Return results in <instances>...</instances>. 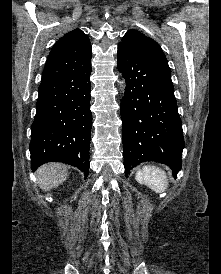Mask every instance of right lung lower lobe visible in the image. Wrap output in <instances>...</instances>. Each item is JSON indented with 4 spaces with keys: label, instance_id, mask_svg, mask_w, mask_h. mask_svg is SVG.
<instances>
[{
    "label": "right lung lower lobe",
    "instance_id": "obj_1",
    "mask_svg": "<svg viewBox=\"0 0 221 274\" xmlns=\"http://www.w3.org/2000/svg\"><path fill=\"white\" fill-rule=\"evenodd\" d=\"M91 64L39 86L31 126V168L57 161L78 167L87 177L92 127Z\"/></svg>",
    "mask_w": 221,
    "mask_h": 274
}]
</instances>
